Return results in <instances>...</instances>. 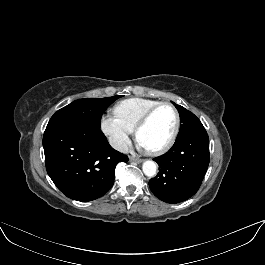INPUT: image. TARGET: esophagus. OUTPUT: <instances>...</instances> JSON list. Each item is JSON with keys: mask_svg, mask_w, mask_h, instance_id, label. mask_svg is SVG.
<instances>
[{"mask_svg": "<svg viewBox=\"0 0 265 265\" xmlns=\"http://www.w3.org/2000/svg\"><path fill=\"white\" fill-rule=\"evenodd\" d=\"M129 160L135 163H141L143 161L142 159L136 157H129Z\"/></svg>", "mask_w": 265, "mask_h": 265, "instance_id": "esophagus-1", "label": "esophagus"}]
</instances>
